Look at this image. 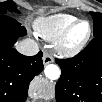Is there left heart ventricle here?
I'll return each mask as SVG.
<instances>
[{
    "mask_svg": "<svg viewBox=\"0 0 102 102\" xmlns=\"http://www.w3.org/2000/svg\"><path fill=\"white\" fill-rule=\"evenodd\" d=\"M86 29V25L85 24H80L76 27V29L74 30L73 34H76L78 32H81L83 30ZM71 45H72V42H71Z\"/></svg>",
    "mask_w": 102,
    "mask_h": 102,
    "instance_id": "left-heart-ventricle-1",
    "label": "left heart ventricle"
}]
</instances>
